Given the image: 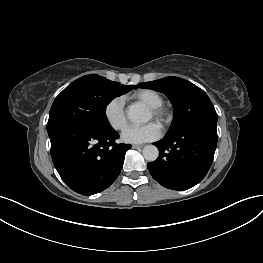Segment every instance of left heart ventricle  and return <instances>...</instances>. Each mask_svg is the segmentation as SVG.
<instances>
[{
    "instance_id": "1",
    "label": "left heart ventricle",
    "mask_w": 263,
    "mask_h": 263,
    "mask_svg": "<svg viewBox=\"0 0 263 263\" xmlns=\"http://www.w3.org/2000/svg\"><path fill=\"white\" fill-rule=\"evenodd\" d=\"M153 117V114L150 112L149 114V119Z\"/></svg>"
}]
</instances>
